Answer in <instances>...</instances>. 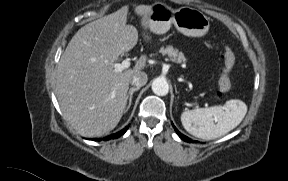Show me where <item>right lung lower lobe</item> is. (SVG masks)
Masks as SVG:
<instances>
[{
  "label": "right lung lower lobe",
  "instance_id": "right-lung-lower-lobe-1",
  "mask_svg": "<svg viewBox=\"0 0 288 181\" xmlns=\"http://www.w3.org/2000/svg\"><path fill=\"white\" fill-rule=\"evenodd\" d=\"M130 125L126 126L124 129L114 133V134H111V135H108L104 138H99V139H96L97 141H101V140H104V141H107V140H110V139H117L119 138L120 136H122L128 129ZM92 140H95V139H92Z\"/></svg>",
  "mask_w": 288,
  "mask_h": 181
}]
</instances>
